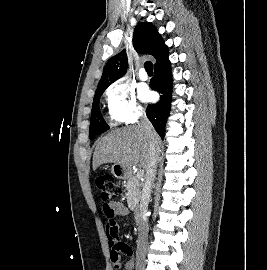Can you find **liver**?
Segmentation results:
<instances>
[{
	"instance_id": "6515ba94",
	"label": "liver",
	"mask_w": 267,
	"mask_h": 270,
	"mask_svg": "<svg viewBox=\"0 0 267 270\" xmlns=\"http://www.w3.org/2000/svg\"><path fill=\"white\" fill-rule=\"evenodd\" d=\"M161 148V139L156 134ZM150 160L149 139L139 125L116 129L104 136L97 144L93 154V170L105 163H117L131 170L140 165L147 169Z\"/></svg>"
}]
</instances>
